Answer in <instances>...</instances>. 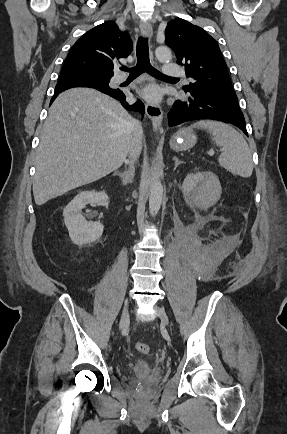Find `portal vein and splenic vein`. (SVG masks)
I'll use <instances>...</instances> for the list:
<instances>
[{
  "label": "portal vein and splenic vein",
  "mask_w": 287,
  "mask_h": 434,
  "mask_svg": "<svg viewBox=\"0 0 287 434\" xmlns=\"http://www.w3.org/2000/svg\"><path fill=\"white\" fill-rule=\"evenodd\" d=\"M209 155H211V156L214 155V151H213V150H210V151H209Z\"/></svg>",
  "instance_id": "portal-vein-and-splenic-vein-1"
}]
</instances>
